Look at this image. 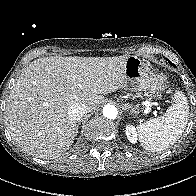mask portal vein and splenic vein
Segmentation results:
<instances>
[{
	"label": "portal vein and splenic vein",
	"mask_w": 196,
	"mask_h": 196,
	"mask_svg": "<svg viewBox=\"0 0 196 196\" xmlns=\"http://www.w3.org/2000/svg\"><path fill=\"white\" fill-rule=\"evenodd\" d=\"M143 105H145V106H147V107H151V106L153 105V103L150 102V101H145V102H143ZM154 114L156 115L157 112L155 111Z\"/></svg>",
	"instance_id": "18ae733b"
}]
</instances>
